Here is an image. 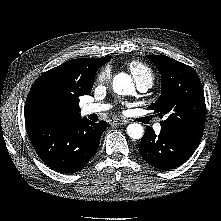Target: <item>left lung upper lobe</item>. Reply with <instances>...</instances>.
Here are the masks:
<instances>
[{"instance_id":"left-lung-upper-lobe-1","label":"left lung upper lobe","mask_w":221,"mask_h":221,"mask_svg":"<svg viewBox=\"0 0 221 221\" xmlns=\"http://www.w3.org/2000/svg\"><path fill=\"white\" fill-rule=\"evenodd\" d=\"M162 77V94L150 105L157 115L166 116L161 130L200 140L206 105L200 79L195 70L167 56L147 55Z\"/></svg>"}]
</instances>
